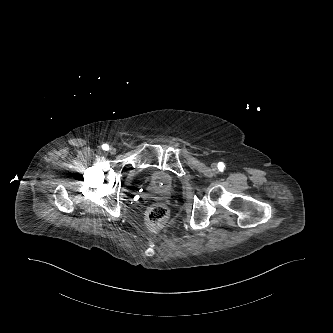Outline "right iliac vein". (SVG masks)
<instances>
[{"mask_svg":"<svg viewBox=\"0 0 333 333\" xmlns=\"http://www.w3.org/2000/svg\"><path fill=\"white\" fill-rule=\"evenodd\" d=\"M109 153L112 154V155H114V154L116 153V148L111 147V148L109 149Z\"/></svg>","mask_w":333,"mask_h":333,"instance_id":"obj_1","label":"right iliac vein"}]
</instances>
